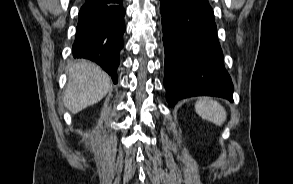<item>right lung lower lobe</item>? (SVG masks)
<instances>
[{
    "instance_id": "98d812e1",
    "label": "right lung lower lobe",
    "mask_w": 293,
    "mask_h": 184,
    "mask_svg": "<svg viewBox=\"0 0 293 184\" xmlns=\"http://www.w3.org/2000/svg\"><path fill=\"white\" fill-rule=\"evenodd\" d=\"M124 15L122 0H111L102 5L85 3L79 11L72 47L75 58L96 62L114 83H117L119 51L123 47Z\"/></svg>"
}]
</instances>
